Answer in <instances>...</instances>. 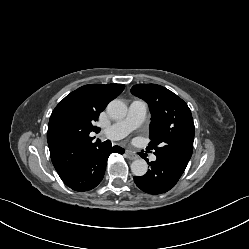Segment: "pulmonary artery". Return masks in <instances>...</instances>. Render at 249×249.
<instances>
[{"mask_svg": "<svg viewBox=\"0 0 249 249\" xmlns=\"http://www.w3.org/2000/svg\"><path fill=\"white\" fill-rule=\"evenodd\" d=\"M147 110L148 107L144 101H133L128 108L125 118L104 129L101 132V137L110 140H119L124 138L143 123ZM150 159L155 161L156 156L152 155Z\"/></svg>", "mask_w": 249, "mask_h": 249, "instance_id": "1", "label": "pulmonary artery"}]
</instances>
